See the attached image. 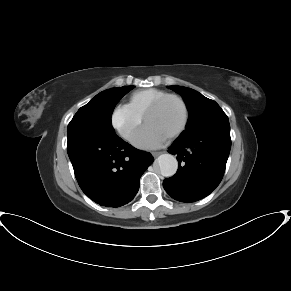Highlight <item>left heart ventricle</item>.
Here are the masks:
<instances>
[{
	"instance_id": "left-heart-ventricle-1",
	"label": "left heart ventricle",
	"mask_w": 291,
	"mask_h": 291,
	"mask_svg": "<svg viewBox=\"0 0 291 291\" xmlns=\"http://www.w3.org/2000/svg\"><path fill=\"white\" fill-rule=\"evenodd\" d=\"M182 120L183 110L180 103L171 99L147 118L146 125L152 126L168 137L180 126Z\"/></svg>"
}]
</instances>
